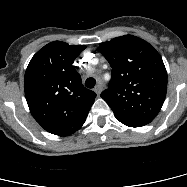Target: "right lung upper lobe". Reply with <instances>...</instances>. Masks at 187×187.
<instances>
[{
  "instance_id": "cb5924a9",
  "label": "right lung upper lobe",
  "mask_w": 187,
  "mask_h": 187,
  "mask_svg": "<svg viewBox=\"0 0 187 187\" xmlns=\"http://www.w3.org/2000/svg\"><path fill=\"white\" fill-rule=\"evenodd\" d=\"M86 48L54 41L31 59L24 90L31 114L48 132L69 136L84 124L96 94L82 85L73 62Z\"/></svg>"
}]
</instances>
